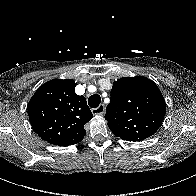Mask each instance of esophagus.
<instances>
[{"label":"esophagus","instance_id":"1","mask_svg":"<svg viewBox=\"0 0 196 196\" xmlns=\"http://www.w3.org/2000/svg\"><path fill=\"white\" fill-rule=\"evenodd\" d=\"M94 115H103L105 113V107L103 104H100L98 107L92 109Z\"/></svg>","mask_w":196,"mask_h":196}]
</instances>
